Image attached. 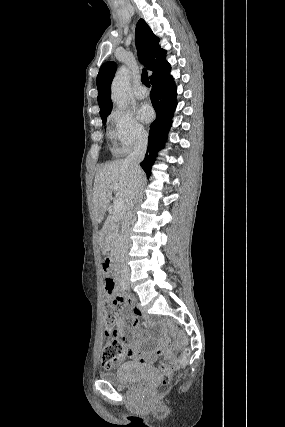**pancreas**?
I'll use <instances>...</instances> for the list:
<instances>
[{"instance_id": "cf45deb5", "label": "pancreas", "mask_w": 285, "mask_h": 427, "mask_svg": "<svg viewBox=\"0 0 285 427\" xmlns=\"http://www.w3.org/2000/svg\"><path fill=\"white\" fill-rule=\"evenodd\" d=\"M114 218L118 220L119 216L115 215ZM118 232H119V225L117 223H114V221L112 220L109 224L108 232H107V243L109 246H113V244L117 242L118 236H119Z\"/></svg>"}]
</instances>
